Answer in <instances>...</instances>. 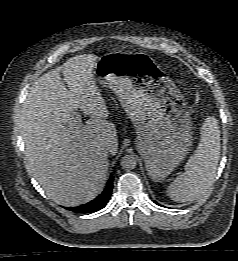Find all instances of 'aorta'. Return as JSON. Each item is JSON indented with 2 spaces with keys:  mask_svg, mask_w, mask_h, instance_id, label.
<instances>
[{
  "mask_svg": "<svg viewBox=\"0 0 238 261\" xmlns=\"http://www.w3.org/2000/svg\"><path fill=\"white\" fill-rule=\"evenodd\" d=\"M137 160L134 155H125L121 159V166L125 170H133L136 167Z\"/></svg>",
  "mask_w": 238,
  "mask_h": 261,
  "instance_id": "762f6f07",
  "label": "aorta"
}]
</instances>
